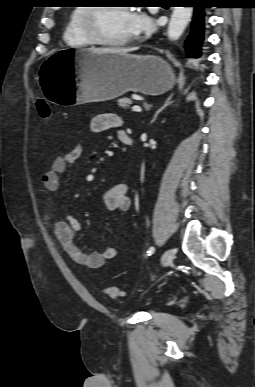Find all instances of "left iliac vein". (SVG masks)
I'll return each instance as SVG.
<instances>
[{"label":"left iliac vein","instance_id":"4c4485c4","mask_svg":"<svg viewBox=\"0 0 255 387\" xmlns=\"http://www.w3.org/2000/svg\"><path fill=\"white\" fill-rule=\"evenodd\" d=\"M174 255H175V250L174 249L166 250L164 252V254L162 255L161 265L163 267H166V266H169L170 264H172L173 259H174Z\"/></svg>","mask_w":255,"mask_h":387}]
</instances>
